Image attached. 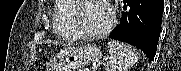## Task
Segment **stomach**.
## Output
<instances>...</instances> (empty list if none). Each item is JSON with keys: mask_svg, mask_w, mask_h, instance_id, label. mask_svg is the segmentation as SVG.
<instances>
[{"mask_svg": "<svg viewBox=\"0 0 181 71\" xmlns=\"http://www.w3.org/2000/svg\"><path fill=\"white\" fill-rule=\"evenodd\" d=\"M101 50L94 45L67 48L59 52L50 62L52 71H74L101 58Z\"/></svg>", "mask_w": 181, "mask_h": 71, "instance_id": "stomach-1", "label": "stomach"}]
</instances>
